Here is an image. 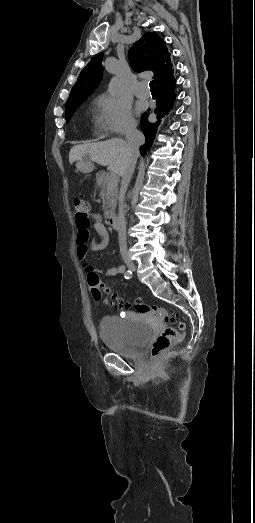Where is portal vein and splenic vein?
<instances>
[{"instance_id": "1", "label": "portal vein and splenic vein", "mask_w": 255, "mask_h": 523, "mask_svg": "<svg viewBox=\"0 0 255 523\" xmlns=\"http://www.w3.org/2000/svg\"><path fill=\"white\" fill-rule=\"evenodd\" d=\"M109 173H110L111 175H114V174L116 173V170H115L114 168H111V169L109 170Z\"/></svg>"}]
</instances>
